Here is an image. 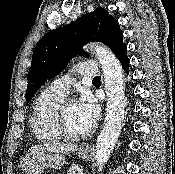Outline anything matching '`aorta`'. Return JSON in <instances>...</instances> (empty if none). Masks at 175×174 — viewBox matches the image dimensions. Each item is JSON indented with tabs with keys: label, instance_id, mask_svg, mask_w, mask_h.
Masks as SVG:
<instances>
[{
	"label": "aorta",
	"instance_id": "1",
	"mask_svg": "<svg viewBox=\"0 0 175 174\" xmlns=\"http://www.w3.org/2000/svg\"><path fill=\"white\" fill-rule=\"evenodd\" d=\"M91 47L94 49L103 70L107 96L104 125L96 143V162L101 171L118 140L126 102L123 69L120 61L105 46L92 43Z\"/></svg>",
	"mask_w": 175,
	"mask_h": 174
}]
</instances>
